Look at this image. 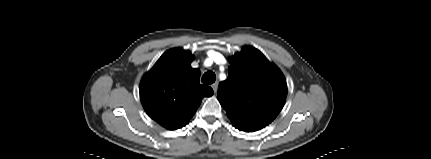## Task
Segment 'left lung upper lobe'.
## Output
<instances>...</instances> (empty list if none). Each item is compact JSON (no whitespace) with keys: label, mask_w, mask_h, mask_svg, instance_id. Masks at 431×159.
<instances>
[{"label":"left lung upper lobe","mask_w":431,"mask_h":159,"mask_svg":"<svg viewBox=\"0 0 431 159\" xmlns=\"http://www.w3.org/2000/svg\"><path fill=\"white\" fill-rule=\"evenodd\" d=\"M230 64L228 79L219 84L218 100L239 130L262 129L284 106V75L253 47H243L230 58Z\"/></svg>","instance_id":"left-lung-upper-lobe-1"}]
</instances>
